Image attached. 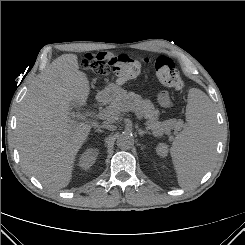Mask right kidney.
<instances>
[{"mask_svg":"<svg viewBox=\"0 0 245 245\" xmlns=\"http://www.w3.org/2000/svg\"><path fill=\"white\" fill-rule=\"evenodd\" d=\"M97 156H98L97 149H93V148L87 149L85 152H83L80 155L79 166L84 170L89 169L95 163Z\"/></svg>","mask_w":245,"mask_h":245,"instance_id":"right-kidney-1","label":"right kidney"}]
</instances>
